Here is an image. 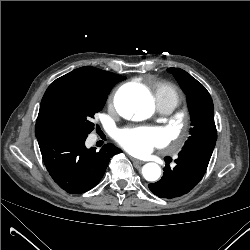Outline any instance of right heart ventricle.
I'll list each match as a JSON object with an SVG mask.
<instances>
[{
  "label": "right heart ventricle",
  "instance_id": "1",
  "mask_svg": "<svg viewBox=\"0 0 250 250\" xmlns=\"http://www.w3.org/2000/svg\"><path fill=\"white\" fill-rule=\"evenodd\" d=\"M156 106L169 105L175 108L180 101L177 88L169 82H158L153 87Z\"/></svg>",
  "mask_w": 250,
  "mask_h": 250
}]
</instances>
